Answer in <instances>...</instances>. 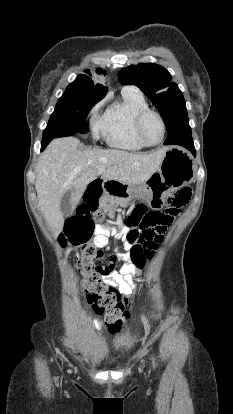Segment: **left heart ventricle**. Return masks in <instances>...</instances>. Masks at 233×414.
<instances>
[{
    "mask_svg": "<svg viewBox=\"0 0 233 414\" xmlns=\"http://www.w3.org/2000/svg\"><path fill=\"white\" fill-rule=\"evenodd\" d=\"M144 132L151 142H157L162 136V127L158 118L150 115L144 123Z\"/></svg>",
    "mask_w": 233,
    "mask_h": 414,
    "instance_id": "1",
    "label": "left heart ventricle"
}]
</instances>
